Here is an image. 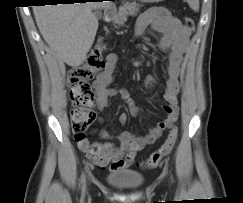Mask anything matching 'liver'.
<instances>
[{
  "label": "liver",
  "mask_w": 243,
  "mask_h": 203,
  "mask_svg": "<svg viewBox=\"0 0 243 203\" xmlns=\"http://www.w3.org/2000/svg\"><path fill=\"white\" fill-rule=\"evenodd\" d=\"M109 6V1L41 5L34 7L33 13L50 48L67 65L78 67L85 61L98 30L92 9Z\"/></svg>",
  "instance_id": "liver-1"
}]
</instances>
